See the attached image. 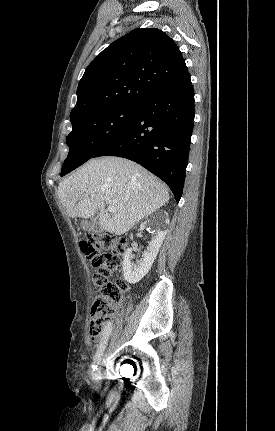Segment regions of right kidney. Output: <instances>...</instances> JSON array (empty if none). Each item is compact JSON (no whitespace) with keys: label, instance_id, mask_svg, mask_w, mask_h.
Segmentation results:
<instances>
[{"label":"right kidney","instance_id":"1","mask_svg":"<svg viewBox=\"0 0 275 431\" xmlns=\"http://www.w3.org/2000/svg\"><path fill=\"white\" fill-rule=\"evenodd\" d=\"M169 223V220H166ZM147 221L141 224V229L146 228ZM165 230H157L155 235L152 237L147 250L144 252L142 258L134 264L132 260V249L128 248L124 254L123 259V273L125 280L130 284L139 282L151 269L154 260L159 252V249L166 236Z\"/></svg>","mask_w":275,"mask_h":431}]
</instances>
